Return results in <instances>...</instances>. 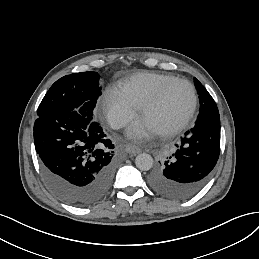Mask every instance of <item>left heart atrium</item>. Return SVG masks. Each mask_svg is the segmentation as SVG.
I'll return each instance as SVG.
<instances>
[{
    "label": "left heart atrium",
    "instance_id": "39dd6f15",
    "mask_svg": "<svg viewBox=\"0 0 259 259\" xmlns=\"http://www.w3.org/2000/svg\"><path fill=\"white\" fill-rule=\"evenodd\" d=\"M128 134L134 138H142L144 136V130L141 123H133L128 129Z\"/></svg>",
    "mask_w": 259,
    "mask_h": 259
}]
</instances>
